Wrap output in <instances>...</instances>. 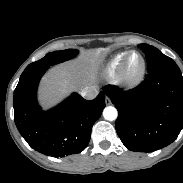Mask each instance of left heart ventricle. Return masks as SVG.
<instances>
[{"label": "left heart ventricle", "instance_id": "obj_1", "mask_svg": "<svg viewBox=\"0 0 183 183\" xmlns=\"http://www.w3.org/2000/svg\"><path fill=\"white\" fill-rule=\"evenodd\" d=\"M140 65V59L137 55H133L129 60L128 69L129 72H135Z\"/></svg>", "mask_w": 183, "mask_h": 183}]
</instances>
